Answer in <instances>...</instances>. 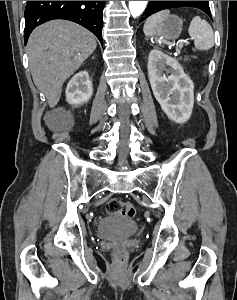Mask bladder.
Listing matches in <instances>:
<instances>
[{"label": "bladder", "instance_id": "obj_1", "mask_svg": "<svg viewBox=\"0 0 237 300\" xmlns=\"http://www.w3.org/2000/svg\"><path fill=\"white\" fill-rule=\"evenodd\" d=\"M96 232L103 239H123L135 235L138 225L121 214H109L98 222Z\"/></svg>", "mask_w": 237, "mask_h": 300}]
</instances>
